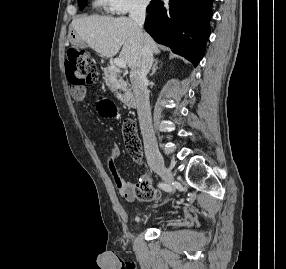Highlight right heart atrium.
Segmentation results:
<instances>
[{
    "label": "right heart atrium",
    "mask_w": 286,
    "mask_h": 269,
    "mask_svg": "<svg viewBox=\"0 0 286 269\" xmlns=\"http://www.w3.org/2000/svg\"><path fill=\"white\" fill-rule=\"evenodd\" d=\"M110 10L118 15L132 11H144L150 0H107Z\"/></svg>",
    "instance_id": "right-heart-atrium-1"
}]
</instances>
